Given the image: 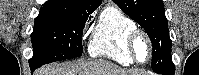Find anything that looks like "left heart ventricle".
Masks as SVG:
<instances>
[{
  "instance_id": "obj_1",
  "label": "left heart ventricle",
  "mask_w": 199,
  "mask_h": 75,
  "mask_svg": "<svg viewBox=\"0 0 199 75\" xmlns=\"http://www.w3.org/2000/svg\"><path fill=\"white\" fill-rule=\"evenodd\" d=\"M135 53L137 58L144 62L147 60L149 55V46L143 38H138L135 42Z\"/></svg>"
}]
</instances>
